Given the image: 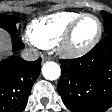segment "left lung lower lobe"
Returning <instances> with one entry per match:
<instances>
[{
    "mask_svg": "<svg viewBox=\"0 0 112 112\" xmlns=\"http://www.w3.org/2000/svg\"><path fill=\"white\" fill-rule=\"evenodd\" d=\"M57 90L72 112H105L112 106V33L76 59H60Z\"/></svg>",
    "mask_w": 112,
    "mask_h": 112,
    "instance_id": "obj_1",
    "label": "left lung lower lobe"
}]
</instances>
